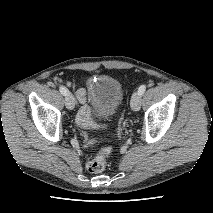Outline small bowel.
Masks as SVG:
<instances>
[{"label": "small bowel", "mask_w": 213, "mask_h": 213, "mask_svg": "<svg viewBox=\"0 0 213 213\" xmlns=\"http://www.w3.org/2000/svg\"><path fill=\"white\" fill-rule=\"evenodd\" d=\"M56 80L61 83L63 82L60 78H57ZM63 83H65L68 87L73 85L70 81ZM76 96L78 101L82 104V107L76 116V123L82 128L94 127L95 124L91 118V110L87 102V91L84 88H80L77 90Z\"/></svg>", "instance_id": "obj_1"}]
</instances>
